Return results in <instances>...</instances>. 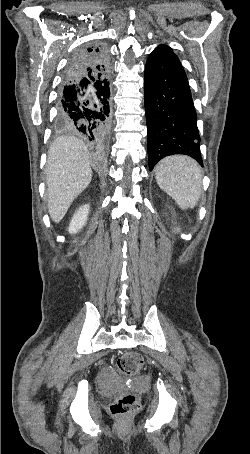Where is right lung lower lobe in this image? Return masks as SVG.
Returning <instances> with one entry per match:
<instances>
[{
    "label": "right lung lower lobe",
    "instance_id": "1",
    "mask_svg": "<svg viewBox=\"0 0 250 454\" xmlns=\"http://www.w3.org/2000/svg\"><path fill=\"white\" fill-rule=\"evenodd\" d=\"M94 60L102 67L109 62L102 44H89L70 60L58 92L57 117L60 126L79 132L103 149L110 134V67L97 72L89 65Z\"/></svg>",
    "mask_w": 250,
    "mask_h": 454
}]
</instances>
